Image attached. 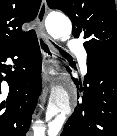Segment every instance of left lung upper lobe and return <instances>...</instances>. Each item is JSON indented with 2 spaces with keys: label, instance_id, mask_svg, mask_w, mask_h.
Wrapping results in <instances>:
<instances>
[{
  "label": "left lung upper lobe",
  "instance_id": "obj_1",
  "mask_svg": "<svg viewBox=\"0 0 117 136\" xmlns=\"http://www.w3.org/2000/svg\"><path fill=\"white\" fill-rule=\"evenodd\" d=\"M50 9L71 19L73 36L86 39L88 58L117 60V11L114 0H47Z\"/></svg>",
  "mask_w": 117,
  "mask_h": 136
}]
</instances>
